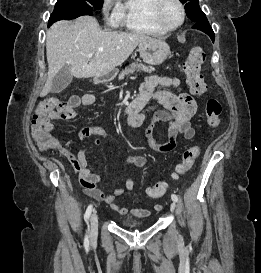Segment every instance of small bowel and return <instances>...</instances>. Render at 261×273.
Returning <instances> with one entry per match:
<instances>
[{
	"label": "small bowel",
	"mask_w": 261,
	"mask_h": 273,
	"mask_svg": "<svg viewBox=\"0 0 261 273\" xmlns=\"http://www.w3.org/2000/svg\"><path fill=\"white\" fill-rule=\"evenodd\" d=\"M158 86L175 88L177 93L156 90ZM140 98L152 100L163 107V109L154 113L152 121L146 130V140L154 151L160 153L171 152L176 148L179 136H182L186 140H190L194 137L195 130L191 126L190 120L197 111V102L191 95L181 89L179 79L174 77L149 76L141 85ZM94 102L95 97L92 94H84L81 97V103L83 105H92ZM58 119H61L58 113H51L46 121V129L51 131L53 129L51 121ZM159 122H164L168 126V136L165 142H158L155 138V126ZM78 137L81 141L94 138L95 145H98L101 139L111 141L106 131L99 127L83 128L79 132ZM60 153L76 170L81 187L88 196L108 204L121 215L127 213L125 207L119 206L116 203V198L124 192L133 189V178L127 177L123 188L116 189L111 195H106L97 186L101 180V176L96 172L95 168L88 167V152L85 149L74 153L67 148L60 147ZM117 153L122 156L120 151H117ZM124 161L127 166L136 167H145L148 163L147 158L141 155L125 156ZM154 210L160 211L161 206L155 205ZM132 213L136 216L145 217L150 215L151 211L149 209H135L132 210Z\"/></svg>",
	"instance_id": "1"
}]
</instances>
